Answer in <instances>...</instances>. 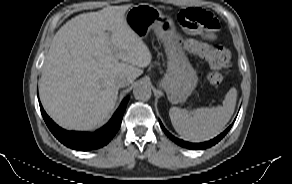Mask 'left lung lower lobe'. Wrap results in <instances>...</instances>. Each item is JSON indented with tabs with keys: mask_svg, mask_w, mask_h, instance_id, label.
Listing matches in <instances>:
<instances>
[{
	"mask_svg": "<svg viewBox=\"0 0 292 184\" xmlns=\"http://www.w3.org/2000/svg\"><path fill=\"white\" fill-rule=\"evenodd\" d=\"M160 125L163 129V131L166 133V135L173 140L175 143H177L178 145L185 147V148H189V149H205V148H209L211 146H213L214 144L218 143L225 135L226 133L230 130L231 126H229L223 133H221L219 136H217L216 138L204 142V143H189L186 141H183L181 139H177L176 137H174L173 135H171L162 125V123L160 122Z\"/></svg>",
	"mask_w": 292,
	"mask_h": 184,
	"instance_id": "left-lung-lower-lobe-1",
	"label": "left lung lower lobe"
}]
</instances>
